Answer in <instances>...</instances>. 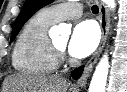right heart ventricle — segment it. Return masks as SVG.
Here are the masks:
<instances>
[{
  "label": "right heart ventricle",
  "mask_w": 127,
  "mask_h": 92,
  "mask_svg": "<svg viewBox=\"0 0 127 92\" xmlns=\"http://www.w3.org/2000/svg\"><path fill=\"white\" fill-rule=\"evenodd\" d=\"M55 21L46 10L31 17L23 26L13 49V67L22 74H52L58 67V59L51 48L49 28Z\"/></svg>",
  "instance_id": "1"
}]
</instances>
